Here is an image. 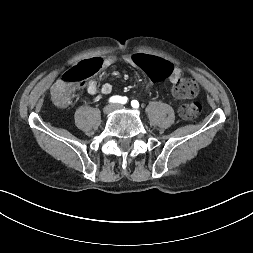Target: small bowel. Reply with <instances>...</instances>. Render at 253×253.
I'll use <instances>...</instances> for the list:
<instances>
[{
  "label": "small bowel",
  "mask_w": 253,
  "mask_h": 253,
  "mask_svg": "<svg viewBox=\"0 0 253 253\" xmlns=\"http://www.w3.org/2000/svg\"><path fill=\"white\" fill-rule=\"evenodd\" d=\"M136 54H138V53L125 56L124 61L133 67L140 68L139 64L135 62V55ZM97 59L100 60L101 67H103V68H109V67L113 66L116 62V57L112 56V55L106 56L104 58H97ZM167 77H168V80L173 85H175L182 77V70L179 67L172 66V70ZM86 90L90 95H95L98 92L97 82L95 80H90L86 84ZM100 91L102 94H105V95L110 94L112 91V85L110 83H104L101 86Z\"/></svg>",
  "instance_id": "1"
}]
</instances>
